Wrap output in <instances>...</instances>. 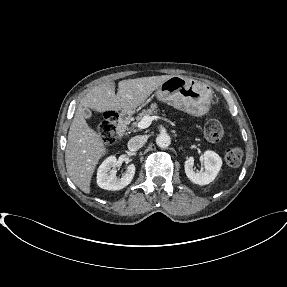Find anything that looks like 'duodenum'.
Listing matches in <instances>:
<instances>
[{
    "label": "duodenum",
    "instance_id": "410a0bca",
    "mask_svg": "<svg viewBox=\"0 0 287 287\" xmlns=\"http://www.w3.org/2000/svg\"><path fill=\"white\" fill-rule=\"evenodd\" d=\"M128 123H129V115L127 113H122L120 115L118 124H117V137L118 139H122L128 128Z\"/></svg>",
    "mask_w": 287,
    "mask_h": 287
}]
</instances>
